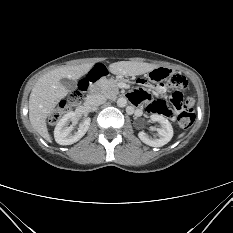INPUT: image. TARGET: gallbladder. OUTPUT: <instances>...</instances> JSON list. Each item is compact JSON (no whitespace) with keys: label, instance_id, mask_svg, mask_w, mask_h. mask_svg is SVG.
Segmentation results:
<instances>
[{"label":"gallbladder","instance_id":"bac80fb5","mask_svg":"<svg viewBox=\"0 0 233 233\" xmlns=\"http://www.w3.org/2000/svg\"><path fill=\"white\" fill-rule=\"evenodd\" d=\"M61 84L69 91H73L77 88V81L68 78H62L60 80Z\"/></svg>","mask_w":233,"mask_h":233}]
</instances>
